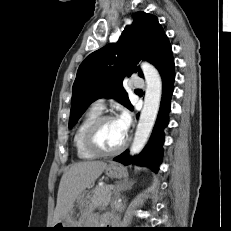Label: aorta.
<instances>
[{
	"label": "aorta",
	"instance_id": "1",
	"mask_svg": "<svg viewBox=\"0 0 231 231\" xmlns=\"http://www.w3.org/2000/svg\"><path fill=\"white\" fill-rule=\"evenodd\" d=\"M141 69L146 80V90L143 109L130 148L131 155L139 154L146 144L157 118L162 95V80L157 69L148 62H143Z\"/></svg>",
	"mask_w": 231,
	"mask_h": 231
}]
</instances>
